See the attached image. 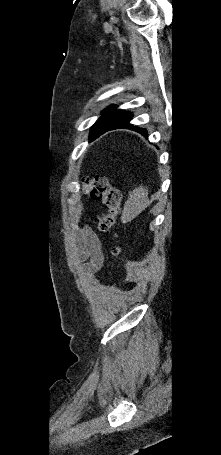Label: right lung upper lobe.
<instances>
[{
  "label": "right lung upper lobe",
  "mask_w": 221,
  "mask_h": 455,
  "mask_svg": "<svg viewBox=\"0 0 221 455\" xmlns=\"http://www.w3.org/2000/svg\"><path fill=\"white\" fill-rule=\"evenodd\" d=\"M116 105H112L111 107H115Z\"/></svg>",
  "instance_id": "1"
}]
</instances>
